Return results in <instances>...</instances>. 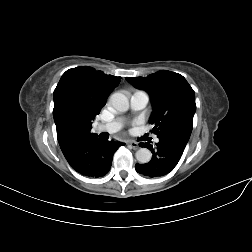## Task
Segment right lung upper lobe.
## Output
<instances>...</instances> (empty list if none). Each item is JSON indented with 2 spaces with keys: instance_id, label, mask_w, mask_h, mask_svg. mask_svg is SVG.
<instances>
[{
  "instance_id": "1",
  "label": "right lung upper lobe",
  "mask_w": 252,
  "mask_h": 252,
  "mask_svg": "<svg viewBox=\"0 0 252 252\" xmlns=\"http://www.w3.org/2000/svg\"><path fill=\"white\" fill-rule=\"evenodd\" d=\"M121 77L83 66L67 70L54 90L53 117L63 154L84 138L94 137L92 122Z\"/></svg>"
}]
</instances>
